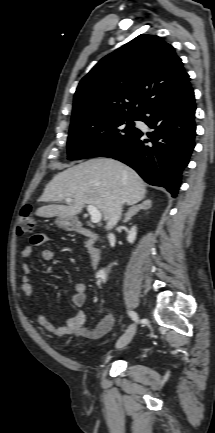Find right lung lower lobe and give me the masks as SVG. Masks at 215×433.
Returning <instances> with one entry per match:
<instances>
[{"mask_svg":"<svg viewBox=\"0 0 215 433\" xmlns=\"http://www.w3.org/2000/svg\"><path fill=\"white\" fill-rule=\"evenodd\" d=\"M195 110L194 92L188 82L154 102L141 116V121L155 129L151 135L140 131L104 156L127 164L147 183L164 187L175 197L181 172L195 147Z\"/></svg>","mask_w":215,"mask_h":433,"instance_id":"1","label":"right lung lower lobe"}]
</instances>
